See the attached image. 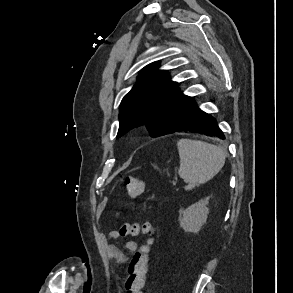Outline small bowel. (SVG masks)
<instances>
[{
  "label": "small bowel",
  "instance_id": "1",
  "mask_svg": "<svg viewBox=\"0 0 293 293\" xmlns=\"http://www.w3.org/2000/svg\"><path fill=\"white\" fill-rule=\"evenodd\" d=\"M149 223L150 221L148 219L144 221V224ZM123 237L124 236H122L116 230L110 231L106 235H103V240L106 243L107 255L111 260H113L116 263L117 267L123 266L126 263L127 258L118 248L112 245H108V240H115L121 242L122 248L129 253H132L137 249V245L134 241L124 239Z\"/></svg>",
  "mask_w": 293,
  "mask_h": 293
}]
</instances>
